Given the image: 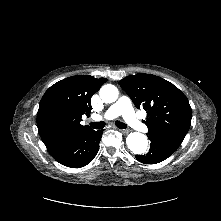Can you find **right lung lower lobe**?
I'll return each instance as SVG.
<instances>
[{
  "label": "right lung lower lobe",
  "mask_w": 221,
  "mask_h": 221,
  "mask_svg": "<svg viewBox=\"0 0 221 221\" xmlns=\"http://www.w3.org/2000/svg\"><path fill=\"white\" fill-rule=\"evenodd\" d=\"M103 130L82 132L49 151L60 164L80 168L89 164L97 155Z\"/></svg>",
  "instance_id": "98d812e1"
}]
</instances>
